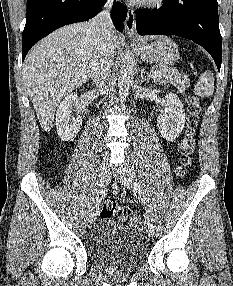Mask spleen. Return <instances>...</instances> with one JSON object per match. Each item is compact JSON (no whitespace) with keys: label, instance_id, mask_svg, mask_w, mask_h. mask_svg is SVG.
Instances as JSON below:
<instances>
[{"label":"spleen","instance_id":"spleen-1","mask_svg":"<svg viewBox=\"0 0 233 286\" xmlns=\"http://www.w3.org/2000/svg\"><path fill=\"white\" fill-rule=\"evenodd\" d=\"M194 93L200 97H209L214 93V77L213 73L208 70L205 71L199 78L195 85Z\"/></svg>","mask_w":233,"mask_h":286}]
</instances>
